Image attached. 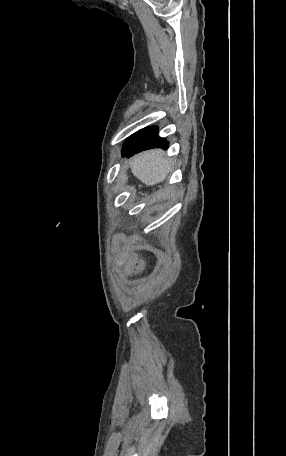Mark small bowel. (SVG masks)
I'll return each mask as SVG.
<instances>
[{
  "instance_id": "c3829d8e",
  "label": "small bowel",
  "mask_w": 286,
  "mask_h": 456,
  "mask_svg": "<svg viewBox=\"0 0 286 456\" xmlns=\"http://www.w3.org/2000/svg\"><path fill=\"white\" fill-rule=\"evenodd\" d=\"M123 260H124V257H123V258H120V259L118 260V262L121 263ZM133 261H134V257H132L131 260H130V262L128 263V266H129V267L133 264Z\"/></svg>"
}]
</instances>
